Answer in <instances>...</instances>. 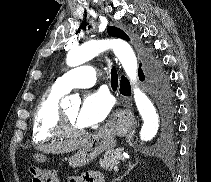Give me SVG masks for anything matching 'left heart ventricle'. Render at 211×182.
Returning a JSON list of instances; mask_svg holds the SVG:
<instances>
[{
  "mask_svg": "<svg viewBox=\"0 0 211 182\" xmlns=\"http://www.w3.org/2000/svg\"><path fill=\"white\" fill-rule=\"evenodd\" d=\"M64 112L66 114V117L68 118L69 122L74 128L82 129L83 127L77 122V114H78V108H67L64 109Z\"/></svg>",
  "mask_w": 211,
  "mask_h": 182,
  "instance_id": "left-heart-ventricle-1",
  "label": "left heart ventricle"
}]
</instances>
